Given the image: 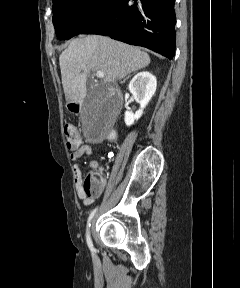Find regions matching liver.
Segmentation results:
<instances>
[{"label":"liver","mask_w":240,"mask_h":288,"mask_svg":"<svg viewBox=\"0 0 240 288\" xmlns=\"http://www.w3.org/2000/svg\"><path fill=\"white\" fill-rule=\"evenodd\" d=\"M150 61V56L138 47L108 37L77 38L59 57L66 100L74 103L85 98L87 76L92 70L102 71L104 82L112 83L147 67Z\"/></svg>","instance_id":"obj_1"}]
</instances>
